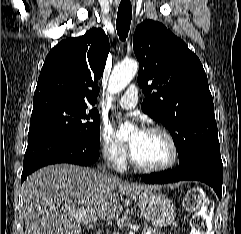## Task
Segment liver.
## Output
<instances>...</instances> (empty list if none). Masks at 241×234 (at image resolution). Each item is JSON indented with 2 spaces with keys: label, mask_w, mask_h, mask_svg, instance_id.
Masks as SVG:
<instances>
[{
  "label": "liver",
  "mask_w": 241,
  "mask_h": 234,
  "mask_svg": "<svg viewBox=\"0 0 241 234\" xmlns=\"http://www.w3.org/2000/svg\"><path fill=\"white\" fill-rule=\"evenodd\" d=\"M156 186L128 183L89 167L55 164L30 175L22 186L25 234H81L97 220L118 216L122 195Z\"/></svg>",
  "instance_id": "1"
}]
</instances>
